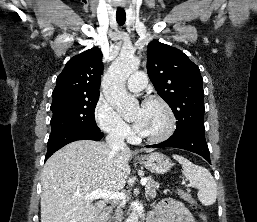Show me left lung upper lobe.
I'll return each instance as SVG.
<instances>
[{
	"mask_svg": "<svg viewBox=\"0 0 257 222\" xmlns=\"http://www.w3.org/2000/svg\"><path fill=\"white\" fill-rule=\"evenodd\" d=\"M147 72L178 120L174 134L205 131L203 80L198 66L179 49L153 40L148 44Z\"/></svg>",
	"mask_w": 257,
	"mask_h": 222,
	"instance_id": "5c2ea615",
	"label": "left lung upper lobe"
}]
</instances>
